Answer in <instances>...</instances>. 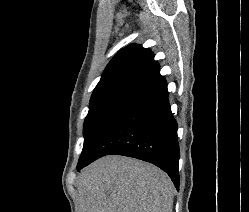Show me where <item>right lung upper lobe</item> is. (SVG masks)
Listing matches in <instances>:
<instances>
[{
  "label": "right lung upper lobe",
  "mask_w": 249,
  "mask_h": 212,
  "mask_svg": "<svg viewBox=\"0 0 249 212\" xmlns=\"http://www.w3.org/2000/svg\"><path fill=\"white\" fill-rule=\"evenodd\" d=\"M164 83L151 50L132 44L120 50L107 65L91 99L118 92L140 96Z\"/></svg>",
  "instance_id": "right-lung-upper-lobe-1"
}]
</instances>
